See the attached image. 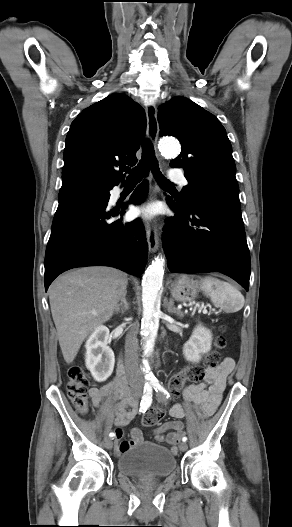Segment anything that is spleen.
Masks as SVG:
<instances>
[{"instance_id": "3e777b00", "label": "spleen", "mask_w": 292, "mask_h": 527, "mask_svg": "<svg viewBox=\"0 0 292 527\" xmlns=\"http://www.w3.org/2000/svg\"><path fill=\"white\" fill-rule=\"evenodd\" d=\"M200 289L209 296L215 307L227 312H237L244 306V297L228 282L214 277H204L200 280Z\"/></svg>"}]
</instances>
